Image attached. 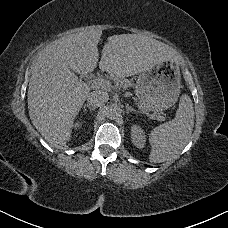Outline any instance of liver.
<instances>
[{
	"mask_svg": "<svg viewBox=\"0 0 228 228\" xmlns=\"http://www.w3.org/2000/svg\"><path fill=\"white\" fill-rule=\"evenodd\" d=\"M101 35V30L92 28L63 37L48 45L32 62L27 93L29 117L52 147L64 146L70 140L73 121L91 90L75 73L87 75L98 64L111 76L124 78L162 62H178L175 49L140 34L108 37L99 61L97 45Z\"/></svg>",
	"mask_w": 228,
	"mask_h": 228,
	"instance_id": "1",
	"label": "liver"
}]
</instances>
